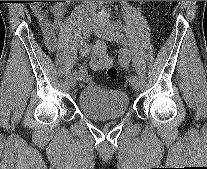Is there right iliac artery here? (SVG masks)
<instances>
[{
	"label": "right iliac artery",
	"mask_w": 207,
	"mask_h": 169,
	"mask_svg": "<svg viewBox=\"0 0 207 169\" xmlns=\"http://www.w3.org/2000/svg\"><path fill=\"white\" fill-rule=\"evenodd\" d=\"M79 51H80V54L82 56H86L88 54V52H89L88 45H87V43H86V41L84 39H82L81 42H80ZM72 75L75 76L77 78V80H81L82 79L80 73L77 72V71L73 72Z\"/></svg>",
	"instance_id": "obj_1"
}]
</instances>
